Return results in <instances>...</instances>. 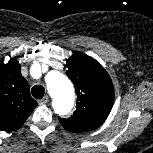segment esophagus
I'll return each instance as SVG.
<instances>
[{"label":"esophagus","mask_w":153,"mask_h":153,"mask_svg":"<svg viewBox=\"0 0 153 153\" xmlns=\"http://www.w3.org/2000/svg\"><path fill=\"white\" fill-rule=\"evenodd\" d=\"M48 101H49V98L47 96H45L44 98H42L41 100H39L38 103L40 105H44V104L48 103Z\"/></svg>","instance_id":"34e87169"}]
</instances>
